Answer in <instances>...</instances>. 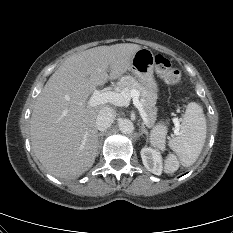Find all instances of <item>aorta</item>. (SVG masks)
<instances>
[{
	"mask_svg": "<svg viewBox=\"0 0 233 233\" xmlns=\"http://www.w3.org/2000/svg\"><path fill=\"white\" fill-rule=\"evenodd\" d=\"M119 129L124 134H130L134 131V125L129 119H122L119 122Z\"/></svg>",
	"mask_w": 233,
	"mask_h": 233,
	"instance_id": "1",
	"label": "aorta"
}]
</instances>
